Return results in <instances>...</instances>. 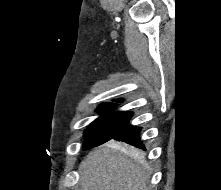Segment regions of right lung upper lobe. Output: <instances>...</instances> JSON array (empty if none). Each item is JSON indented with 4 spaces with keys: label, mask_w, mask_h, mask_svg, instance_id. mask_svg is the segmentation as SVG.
I'll return each instance as SVG.
<instances>
[{
    "label": "right lung upper lobe",
    "mask_w": 221,
    "mask_h": 190,
    "mask_svg": "<svg viewBox=\"0 0 221 190\" xmlns=\"http://www.w3.org/2000/svg\"><path fill=\"white\" fill-rule=\"evenodd\" d=\"M115 102H121V100H115ZM101 105H104V106H117L116 103H109V102L103 103Z\"/></svg>",
    "instance_id": "1"
}]
</instances>
